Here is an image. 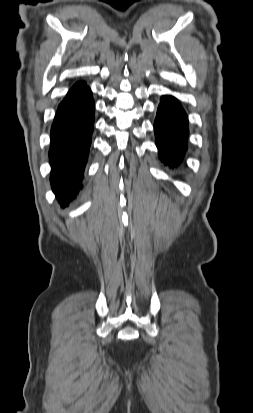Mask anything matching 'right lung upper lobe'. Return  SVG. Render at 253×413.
<instances>
[{"label": "right lung upper lobe", "mask_w": 253, "mask_h": 413, "mask_svg": "<svg viewBox=\"0 0 253 413\" xmlns=\"http://www.w3.org/2000/svg\"><path fill=\"white\" fill-rule=\"evenodd\" d=\"M84 86H85V82H78V83H76V84L70 89V91L68 92V95L74 93L75 91L79 90L80 88H82V87H84Z\"/></svg>", "instance_id": "1"}]
</instances>
